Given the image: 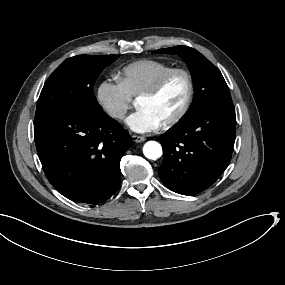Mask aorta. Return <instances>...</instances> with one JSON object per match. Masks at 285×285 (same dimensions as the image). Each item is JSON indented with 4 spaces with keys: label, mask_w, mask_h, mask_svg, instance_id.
Returning a JSON list of instances; mask_svg holds the SVG:
<instances>
[{
    "label": "aorta",
    "mask_w": 285,
    "mask_h": 285,
    "mask_svg": "<svg viewBox=\"0 0 285 285\" xmlns=\"http://www.w3.org/2000/svg\"><path fill=\"white\" fill-rule=\"evenodd\" d=\"M143 153L146 158L157 160L162 156V147L158 142L149 141L144 145Z\"/></svg>",
    "instance_id": "762f6f07"
}]
</instances>
